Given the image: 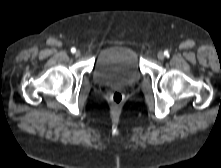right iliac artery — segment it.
Here are the masks:
<instances>
[{"label":"right iliac artery","mask_w":221,"mask_h":168,"mask_svg":"<svg viewBox=\"0 0 221 168\" xmlns=\"http://www.w3.org/2000/svg\"><path fill=\"white\" fill-rule=\"evenodd\" d=\"M71 52L72 53H75L76 52V49L73 47V48H71Z\"/></svg>","instance_id":"82829eb1"}]
</instances>
